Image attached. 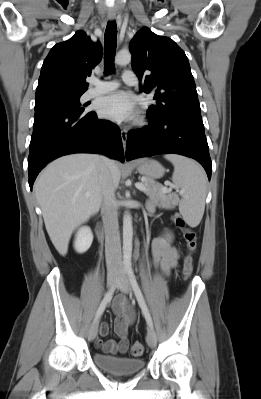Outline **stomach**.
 Returning a JSON list of instances; mask_svg holds the SVG:
<instances>
[{
    "instance_id": "stomach-1",
    "label": "stomach",
    "mask_w": 261,
    "mask_h": 399,
    "mask_svg": "<svg viewBox=\"0 0 261 399\" xmlns=\"http://www.w3.org/2000/svg\"><path fill=\"white\" fill-rule=\"evenodd\" d=\"M137 171L151 179H158L164 175V167L156 160L142 159L135 163Z\"/></svg>"
}]
</instances>
